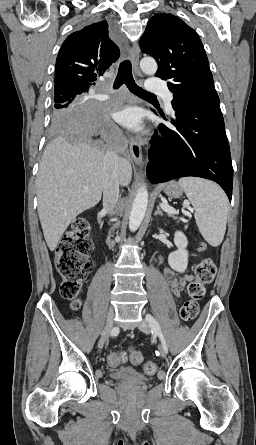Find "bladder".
Listing matches in <instances>:
<instances>
[{
  "mask_svg": "<svg viewBox=\"0 0 256 445\" xmlns=\"http://www.w3.org/2000/svg\"><path fill=\"white\" fill-rule=\"evenodd\" d=\"M111 377L116 381L127 383H144L148 381V377L132 367H121L110 373Z\"/></svg>",
  "mask_w": 256,
  "mask_h": 445,
  "instance_id": "obj_1",
  "label": "bladder"
}]
</instances>
